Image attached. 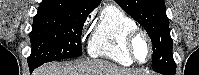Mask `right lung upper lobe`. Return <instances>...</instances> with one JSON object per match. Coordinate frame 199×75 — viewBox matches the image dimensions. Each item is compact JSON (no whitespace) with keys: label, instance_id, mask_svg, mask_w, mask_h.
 <instances>
[{"label":"right lung upper lobe","instance_id":"obj_1","mask_svg":"<svg viewBox=\"0 0 199 75\" xmlns=\"http://www.w3.org/2000/svg\"><path fill=\"white\" fill-rule=\"evenodd\" d=\"M100 2L101 0H43L39 9L53 8L88 15Z\"/></svg>","mask_w":199,"mask_h":75}]
</instances>
